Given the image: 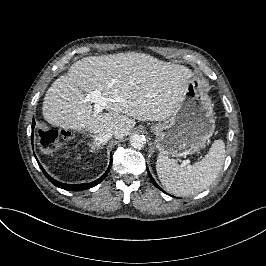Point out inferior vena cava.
<instances>
[{"label": "inferior vena cava", "instance_id": "602c4592", "mask_svg": "<svg viewBox=\"0 0 266 266\" xmlns=\"http://www.w3.org/2000/svg\"><path fill=\"white\" fill-rule=\"evenodd\" d=\"M93 140L98 145H104L108 142L109 139L113 137V133L109 130H99L92 132Z\"/></svg>", "mask_w": 266, "mask_h": 266}]
</instances>
